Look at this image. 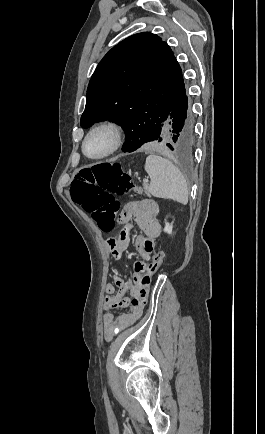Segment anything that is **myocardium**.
I'll use <instances>...</instances> for the list:
<instances>
[{"mask_svg":"<svg viewBox=\"0 0 265 434\" xmlns=\"http://www.w3.org/2000/svg\"><path fill=\"white\" fill-rule=\"evenodd\" d=\"M107 134L110 139L108 148L101 154L91 156L86 153L85 146L90 138L97 134ZM124 132L121 125L112 120H104L89 129L80 144L81 154L92 162H100L113 155L122 145Z\"/></svg>","mask_w":265,"mask_h":434,"instance_id":"obj_1","label":"myocardium"}]
</instances>
